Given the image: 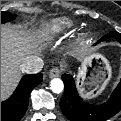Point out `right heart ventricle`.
Listing matches in <instances>:
<instances>
[{"mask_svg": "<svg viewBox=\"0 0 121 121\" xmlns=\"http://www.w3.org/2000/svg\"><path fill=\"white\" fill-rule=\"evenodd\" d=\"M71 25L68 22L56 21L48 26V29L52 33H60L68 29Z\"/></svg>", "mask_w": 121, "mask_h": 121, "instance_id": "e07e8e85", "label": "right heart ventricle"}]
</instances>
